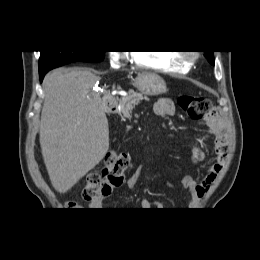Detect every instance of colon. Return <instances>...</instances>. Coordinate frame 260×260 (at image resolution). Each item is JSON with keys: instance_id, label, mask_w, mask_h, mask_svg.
Returning <instances> with one entry per match:
<instances>
[{"instance_id": "1", "label": "colon", "mask_w": 260, "mask_h": 260, "mask_svg": "<svg viewBox=\"0 0 260 260\" xmlns=\"http://www.w3.org/2000/svg\"><path fill=\"white\" fill-rule=\"evenodd\" d=\"M178 105L186 114L194 119H201L216 114L209 99L202 96H180ZM129 166V159L125 154H114L107 160L102 171L90 173L82 190V197L86 201L102 200L109 196L113 189L123 185L125 173ZM68 208L76 209L74 202L67 204Z\"/></svg>"}]
</instances>
